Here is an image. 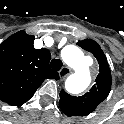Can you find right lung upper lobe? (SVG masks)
<instances>
[{
  "instance_id": "1",
  "label": "right lung upper lobe",
  "mask_w": 124,
  "mask_h": 124,
  "mask_svg": "<svg viewBox=\"0 0 124 124\" xmlns=\"http://www.w3.org/2000/svg\"><path fill=\"white\" fill-rule=\"evenodd\" d=\"M34 39L22 30L0 44V100L9 105L28 101L45 79H59L50 52L35 49Z\"/></svg>"
}]
</instances>
